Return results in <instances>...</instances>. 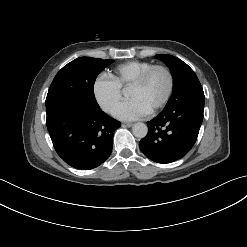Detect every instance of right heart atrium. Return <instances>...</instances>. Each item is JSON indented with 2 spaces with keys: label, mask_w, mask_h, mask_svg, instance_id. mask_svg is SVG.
Wrapping results in <instances>:
<instances>
[{
  "label": "right heart atrium",
  "mask_w": 247,
  "mask_h": 247,
  "mask_svg": "<svg viewBox=\"0 0 247 247\" xmlns=\"http://www.w3.org/2000/svg\"><path fill=\"white\" fill-rule=\"evenodd\" d=\"M93 95L106 113L113 114L121 101V87L109 75H100L94 81Z\"/></svg>",
  "instance_id": "d8ad5b80"
}]
</instances>
